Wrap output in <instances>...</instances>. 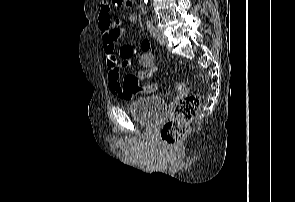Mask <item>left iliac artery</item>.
<instances>
[{
	"label": "left iliac artery",
	"mask_w": 295,
	"mask_h": 202,
	"mask_svg": "<svg viewBox=\"0 0 295 202\" xmlns=\"http://www.w3.org/2000/svg\"><path fill=\"white\" fill-rule=\"evenodd\" d=\"M147 28H148L150 34L153 37H156L157 36V30H156V28L154 27V25H153V23L151 21H148L147 22Z\"/></svg>",
	"instance_id": "44dca946"
}]
</instances>
